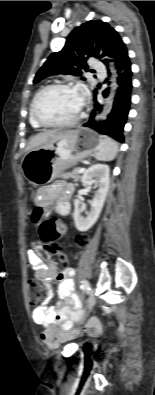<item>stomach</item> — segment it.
Segmentation results:
<instances>
[{"instance_id":"0dacf381","label":"stomach","mask_w":155,"mask_h":395,"mask_svg":"<svg viewBox=\"0 0 155 395\" xmlns=\"http://www.w3.org/2000/svg\"><path fill=\"white\" fill-rule=\"evenodd\" d=\"M99 140L100 136L82 127L59 132L48 144L25 154L23 174L31 184L45 185L63 170L96 152Z\"/></svg>"}]
</instances>
